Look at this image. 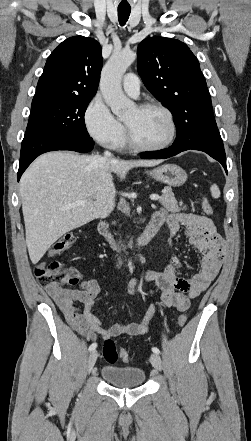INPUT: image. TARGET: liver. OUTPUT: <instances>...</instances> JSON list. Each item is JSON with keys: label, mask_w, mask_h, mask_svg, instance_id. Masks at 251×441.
Wrapping results in <instances>:
<instances>
[{"label": "liver", "mask_w": 251, "mask_h": 441, "mask_svg": "<svg viewBox=\"0 0 251 441\" xmlns=\"http://www.w3.org/2000/svg\"><path fill=\"white\" fill-rule=\"evenodd\" d=\"M161 160L126 161L54 151L39 156L20 180L26 245L33 264L65 233L110 213L116 189L112 173L125 179L134 167ZM87 200L83 205L76 201Z\"/></svg>", "instance_id": "1"}]
</instances>
